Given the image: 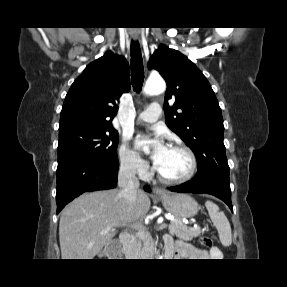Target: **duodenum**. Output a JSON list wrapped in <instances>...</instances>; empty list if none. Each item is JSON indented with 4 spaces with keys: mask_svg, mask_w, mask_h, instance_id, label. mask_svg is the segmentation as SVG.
<instances>
[{
    "mask_svg": "<svg viewBox=\"0 0 287 287\" xmlns=\"http://www.w3.org/2000/svg\"><path fill=\"white\" fill-rule=\"evenodd\" d=\"M119 239H120V243H121V245H122L124 251H125V252H128L129 247H130V242H131V234H130L128 231H122V232L120 233ZM105 252H106L107 254H109V255H114V254H112V251H111V248H110V247H106V248H105ZM166 255H167L168 257H172V256L170 255V253L168 252L167 249H166Z\"/></svg>",
    "mask_w": 287,
    "mask_h": 287,
    "instance_id": "obj_1",
    "label": "duodenum"
}]
</instances>
